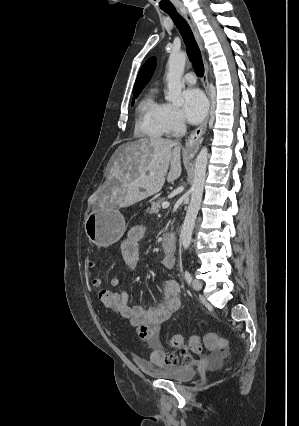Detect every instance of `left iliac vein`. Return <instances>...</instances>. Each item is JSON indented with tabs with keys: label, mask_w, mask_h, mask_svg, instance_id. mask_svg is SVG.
<instances>
[{
	"label": "left iliac vein",
	"mask_w": 299,
	"mask_h": 426,
	"mask_svg": "<svg viewBox=\"0 0 299 426\" xmlns=\"http://www.w3.org/2000/svg\"><path fill=\"white\" fill-rule=\"evenodd\" d=\"M192 287L194 290L196 291H200L203 287V284L201 281L197 280V279H193L192 281Z\"/></svg>",
	"instance_id": "1"
}]
</instances>
